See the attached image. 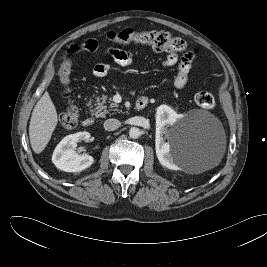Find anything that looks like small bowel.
I'll return each mask as SVG.
<instances>
[{"label": "small bowel", "mask_w": 267, "mask_h": 267, "mask_svg": "<svg viewBox=\"0 0 267 267\" xmlns=\"http://www.w3.org/2000/svg\"><path fill=\"white\" fill-rule=\"evenodd\" d=\"M98 48V43L95 39L90 38L80 44H72L68 47L65 54H75L81 51L94 52ZM107 55L114 63L127 67L133 64V57L130 52L117 48H110L107 50ZM65 55H62L64 58ZM193 56L191 54L185 56L180 62L176 55L169 54L163 61V67L177 66L176 75L174 77V87L176 89H182L188 82V76L192 65ZM110 70V63L107 61H101L94 65L93 74L96 77H104Z\"/></svg>", "instance_id": "small-bowel-1"}]
</instances>
